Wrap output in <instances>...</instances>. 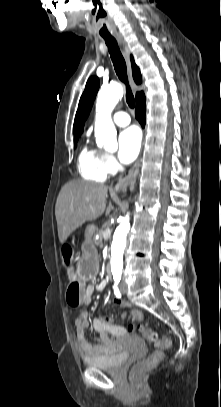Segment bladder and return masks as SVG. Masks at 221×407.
<instances>
[{
	"label": "bladder",
	"instance_id": "bladder-1",
	"mask_svg": "<svg viewBox=\"0 0 221 407\" xmlns=\"http://www.w3.org/2000/svg\"><path fill=\"white\" fill-rule=\"evenodd\" d=\"M139 353L144 354L147 350L145 342L140 338H132ZM128 359V354L118 349L112 351L104 357L87 359L85 364L89 367L103 371H117Z\"/></svg>",
	"mask_w": 221,
	"mask_h": 407
}]
</instances>
